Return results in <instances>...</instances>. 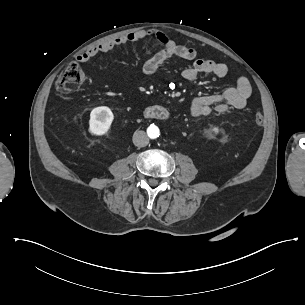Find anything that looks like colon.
Returning a JSON list of instances; mask_svg holds the SVG:
<instances>
[{"mask_svg": "<svg viewBox=\"0 0 305 305\" xmlns=\"http://www.w3.org/2000/svg\"><path fill=\"white\" fill-rule=\"evenodd\" d=\"M84 80L82 71L77 67H68L56 81V91L67 93L76 89ZM255 123L261 125L264 122L263 116L256 113L254 116Z\"/></svg>", "mask_w": 305, "mask_h": 305, "instance_id": "5ec220e1", "label": "colon"}]
</instances>
